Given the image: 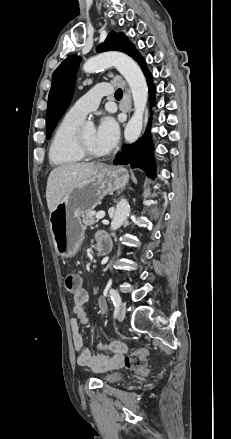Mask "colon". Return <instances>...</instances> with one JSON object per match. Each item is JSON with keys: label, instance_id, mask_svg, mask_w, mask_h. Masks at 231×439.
<instances>
[{"label": "colon", "instance_id": "1", "mask_svg": "<svg viewBox=\"0 0 231 439\" xmlns=\"http://www.w3.org/2000/svg\"><path fill=\"white\" fill-rule=\"evenodd\" d=\"M84 280L81 278L78 270H71L69 275L65 279V288L68 292L75 295L76 288L81 286ZM149 350L146 348H141L133 351L125 357V366L137 373L144 374L147 372V356Z\"/></svg>", "mask_w": 231, "mask_h": 439}]
</instances>
